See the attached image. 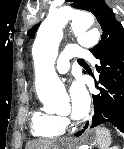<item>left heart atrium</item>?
<instances>
[{
    "mask_svg": "<svg viewBox=\"0 0 124 149\" xmlns=\"http://www.w3.org/2000/svg\"><path fill=\"white\" fill-rule=\"evenodd\" d=\"M69 94L72 118H83L90 108V96L82 80L78 79L72 83Z\"/></svg>",
    "mask_w": 124,
    "mask_h": 149,
    "instance_id": "39dd6f15",
    "label": "left heart atrium"
}]
</instances>
